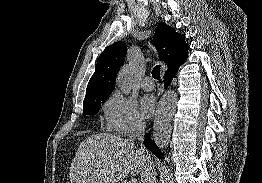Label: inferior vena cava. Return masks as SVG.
Here are the masks:
<instances>
[{
    "instance_id": "1",
    "label": "inferior vena cava",
    "mask_w": 262,
    "mask_h": 183,
    "mask_svg": "<svg viewBox=\"0 0 262 183\" xmlns=\"http://www.w3.org/2000/svg\"><path fill=\"white\" fill-rule=\"evenodd\" d=\"M145 127H146V123L143 119L141 118L136 119L133 123L132 132L129 136V139L131 141L137 139L141 142V148L139 152L143 163H142L140 183H156V170H155L154 163L151 159L150 154L142 146Z\"/></svg>"
}]
</instances>
